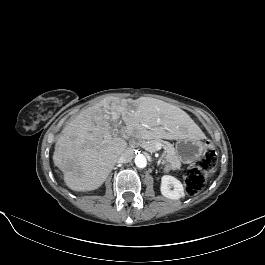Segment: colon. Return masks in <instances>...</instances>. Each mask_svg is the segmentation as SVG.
<instances>
[{
	"mask_svg": "<svg viewBox=\"0 0 265 265\" xmlns=\"http://www.w3.org/2000/svg\"><path fill=\"white\" fill-rule=\"evenodd\" d=\"M217 155L212 143H206L205 152L196 165L191 167L185 176V185L188 194H199L205 185L206 173L216 164Z\"/></svg>",
	"mask_w": 265,
	"mask_h": 265,
	"instance_id": "1",
	"label": "colon"
}]
</instances>
